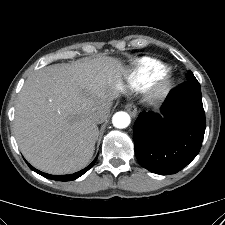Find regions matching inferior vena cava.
Masks as SVG:
<instances>
[{
    "instance_id": "1",
    "label": "inferior vena cava",
    "mask_w": 225,
    "mask_h": 225,
    "mask_svg": "<svg viewBox=\"0 0 225 225\" xmlns=\"http://www.w3.org/2000/svg\"><path fill=\"white\" fill-rule=\"evenodd\" d=\"M111 105H112V103L108 104V105H105L103 108L99 109L98 111H96L93 114V120L97 124L104 122L108 118L109 113H110Z\"/></svg>"
}]
</instances>
